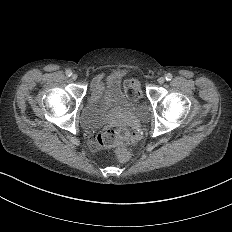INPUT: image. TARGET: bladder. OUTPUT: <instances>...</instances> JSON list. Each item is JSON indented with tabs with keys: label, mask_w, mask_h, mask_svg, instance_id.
<instances>
[{
	"label": "bladder",
	"mask_w": 232,
	"mask_h": 232,
	"mask_svg": "<svg viewBox=\"0 0 232 232\" xmlns=\"http://www.w3.org/2000/svg\"><path fill=\"white\" fill-rule=\"evenodd\" d=\"M124 72L112 71L104 78L103 97L97 103L85 106L80 113V123L86 129L104 125L114 111L127 112L139 119H146L148 107L143 102H134L122 91Z\"/></svg>",
	"instance_id": "31cf9c89"
}]
</instances>
